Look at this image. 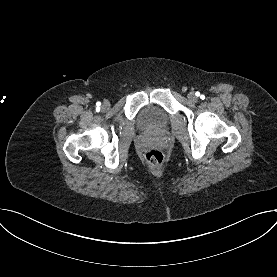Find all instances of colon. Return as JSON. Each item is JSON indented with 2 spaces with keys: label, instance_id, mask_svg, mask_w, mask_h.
Masks as SVG:
<instances>
[{
  "label": "colon",
  "instance_id": "colon-1",
  "mask_svg": "<svg viewBox=\"0 0 277 277\" xmlns=\"http://www.w3.org/2000/svg\"><path fill=\"white\" fill-rule=\"evenodd\" d=\"M146 162L152 167H159L164 162V154L162 151L152 149L145 154Z\"/></svg>",
  "mask_w": 277,
  "mask_h": 277
}]
</instances>
